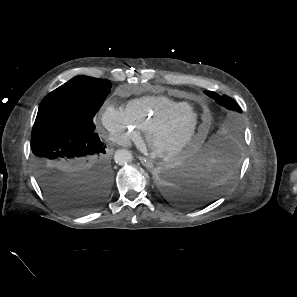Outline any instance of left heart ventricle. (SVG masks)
Wrapping results in <instances>:
<instances>
[{"instance_id":"obj_1","label":"left heart ventricle","mask_w":297,"mask_h":297,"mask_svg":"<svg viewBox=\"0 0 297 297\" xmlns=\"http://www.w3.org/2000/svg\"><path fill=\"white\" fill-rule=\"evenodd\" d=\"M197 121V116L193 113H186L181 117L167 124L154 137V144L158 148H171L183 141L192 130Z\"/></svg>"}]
</instances>
